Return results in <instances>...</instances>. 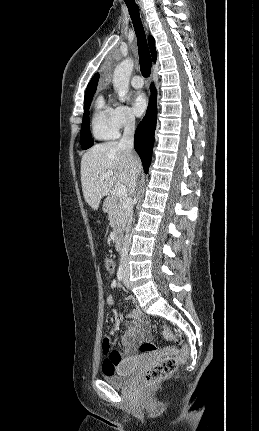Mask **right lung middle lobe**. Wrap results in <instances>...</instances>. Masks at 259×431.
I'll use <instances>...</instances> for the list:
<instances>
[{"mask_svg": "<svg viewBox=\"0 0 259 431\" xmlns=\"http://www.w3.org/2000/svg\"><path fill=\"white\" fill-rule=\"evenodd\" d=\"M95 92L85 94L84 97V114L80 133L82 149H88L93 145V140L89 131V108Z\"/></svg>", "mask_w": 259, "mask_h": 431, "instance_id": "right-lung-middle-lobe-1", "label": "right lung middle lobe"}]
</instances>
